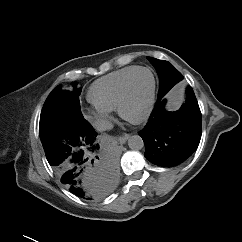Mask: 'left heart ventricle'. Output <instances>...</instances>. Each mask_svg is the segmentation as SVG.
<instances>
[{
  "label": "left heart ventricle",
  "mask_w": 242,
  "mask_h": 242,
  "mask_svg": "<svg viewBox=\"0 0 242 242\" xmlns=\"http://www.w3.org/2000/svg\"><path fill=\"white\" fill-rule=\"evenodd\" d=\"M152 88V77L149 72L141 71L134 77L125 105V112L131 117L140 115L148 102Z\"/></svg>",
  "instance_id": "left-heart-ventricle-1"
}]
</instances>
